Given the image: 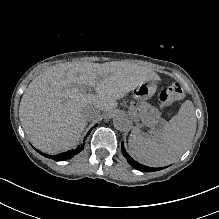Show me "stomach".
I'll use <instances>...</instances> for the list:
<instances>
[{
  "label": "stomach",
  "mask_w": 219,
  "mask_h": 219,
  "mask_svg": "<svg viewBox=\"0 0 219 219\" xmlns=\"http://www.w3.org/2000/svg\"><path fill=\"white\" fill-rule=\"evenodd\" d=\"M156 82H144L133 89V96L138 101L137 109L139 117L144 125L155 127L161 117L160 111L147 102L156 92Z\"/></svg>",
  "instance_id": "stomach-1"
}]
</instances>
